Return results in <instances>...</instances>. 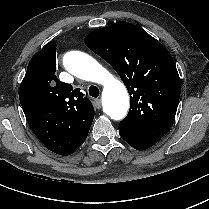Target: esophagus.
I'll use <instances>...</instances> for the list:
<instances>
[{"mask_svg":"<svg viewBox=\"0 0 209 209\" xmlns=\"http://www.w3.org/2000/svg\"><path fill=\"white\" fill-rule=\"evenodd\" d=\"M95 106H96V108H101V99H96L95 100Z\"/></svg>","mask_w":209,"mask_h":209,"instance_id":"1","label":"esophagus"}]
</instances>
